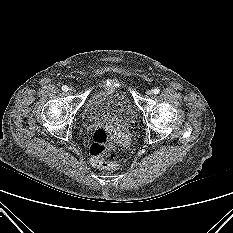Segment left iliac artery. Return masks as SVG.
I'll list each match as a JSON object with an SVG mask.
<instances>
[{
  "label": "left iliac artery",
  "mask_w": 233,
  "mask_h": 233,
  "mask_svg": "<svg viewBox=\"0 0 233 233\" xmlns=\"http://www.w3.org/2000/svg\"><path fill=\"white\" fill-rule=\"evenodd\" d=\"M159 92H160V89H159V88H154V89H153V93H154V94H158Z\"/></svg>",
  "instance_id": "1"
}]
</instances>
